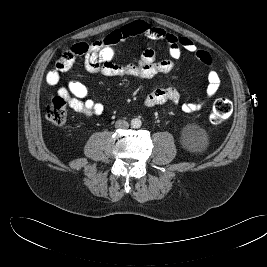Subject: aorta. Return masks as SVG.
<instances>
[{
    "instance_id": "aorta-1",
    "label": "aorta",
    "mask_w": 267,
    "mask_h": 267,
    "mask_svg": "<svg viewBox=\"0 0 267 267\" xmlns=\"http://www.w3.org/2000/svg\"><path fill=\"white\" fill-rule=\"evenodd\" d=\"M141 125H142V122L139 118H134L131 120V127L132 128L137 129V128H140Z\"/></svg>"
}]
</instances>
